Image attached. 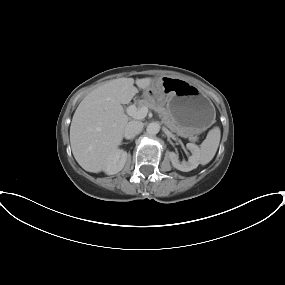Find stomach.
I'll return each mask as SVG.
<instances>
[{
	"mask_svg": "<svg viewBox=\"0 0 285 285\" xmlns=\"http://www.w3.org/2000/svg\"><path fill=\"white\" fill-rule=\"evenodd\" d=\"M143 97L166 104L173 123L191 135L202 133L215 120V108L207 95L183 79L159 78L144 90Z\"/></svg>",
	"mask_w": 285,
	"mask_h": 285,
	"instance_id": "obj_1",
	"label": "stomach"
}]
</instances>
